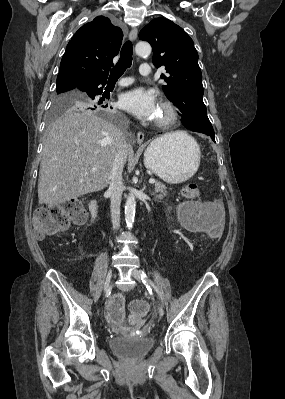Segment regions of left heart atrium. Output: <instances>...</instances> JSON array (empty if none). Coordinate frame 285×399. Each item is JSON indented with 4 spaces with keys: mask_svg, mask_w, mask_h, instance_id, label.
Listing matches in <instances>:
<instances>
[{
    "mask_svg": "<svg viewBox=\"0 0 285 399\" xmlns=\"http://www.w3.org/2000/svg\"><path fill=\"white\" fill-rule=\"evenodd\" d=\"M119 104L121 108L142 120L155 119L159 110L155 96L142 88L124 93Z\"/></svg>",
    "mask_w": 285,
    "mask_h": 399,
    "instance_id": "obj_1",
    "label": "left heart atrium"
}]
</instances>
